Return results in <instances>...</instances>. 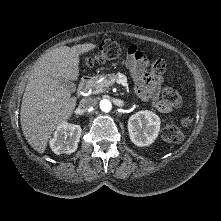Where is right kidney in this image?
<instances>
[{
	"instance_id": "ca27d5eb",
	"label": "right kidney",
	"mask_w": 221,
	"mask_h": 221,
	"mask_svg": "<svg viewBox=\"0 0 221 221\" xmlns=\"http://www.w3.org/2000/svg\"><path fill=\"white\" fill-rule=\"evenodd\" d=\"M82 129L79 125L63 122L50 139V147L55 154H71L78 148Z\"/></svg>"
}]
</instances>
